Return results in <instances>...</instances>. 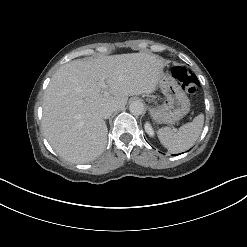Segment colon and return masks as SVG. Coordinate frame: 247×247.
Returning <instances> with one entry per match:
<instances>
[{
  "label": "colon",
  "instance_id": "colon-1",
  "mask_svg": "<svg viewBox=\"0 0 247 247\" xmlns=\"http://www.w3.org/2000/svg\"><path fill=\"white\" fill-rule=\"evenodd\" d=\"M172 75L188 95L196 97L199 94V80L190 70L180 66H175L172 68Z\"/></svg>",
  "mask_w": 247,
  "mask_h": 247
}]
</instances>
